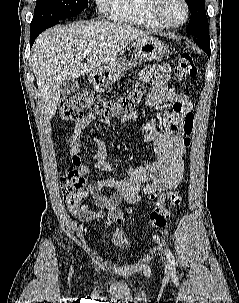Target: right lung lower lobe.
Returning <instances> with one entry per match:
<instances>
[{"label":"right lung lower lobe","mask_w":239,"mask_h":303,"mask_svg":"<svg viewBox=\"0 0 239 303\" xmlns=\"http://www.w3.org/2000/svg\"><path fill=\"white\" fill-rule=\"evenodd\" d=\"M60 23V21H57L56 24ZM45 27H41V28H36V29H31V42H30V47L33 45L35 39L37 38V36L44 31Z\"/></svg>","instance_id":"obj_1"}]
</instances>
